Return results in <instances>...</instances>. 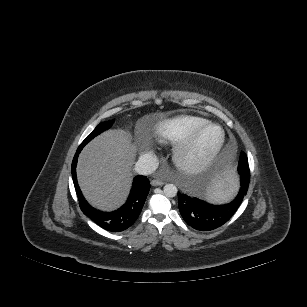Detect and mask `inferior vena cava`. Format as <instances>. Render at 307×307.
<instances>
[{
    "label": "inferior vena cava",
    "instance_id": "obj_1",
    "mask_svg": "<svg viewBox=\"0 0 307 307\" xmlns=\"http://www.w3.org/2000/svg\"><path fill=\"white\" fill-rule=\"evenodd\" d=\"M159 162L156 155L146 153L139 157L135 164V171L141 175L152 174L158 168Z\"/></svg>",
    "mask_w": 307,
    "mask_h": 307
}]
</instances>
